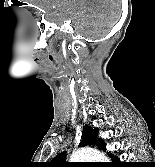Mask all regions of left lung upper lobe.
<instances>
[{"label":"left lung upper lobe","mask_w":155,"mask_h":167,"mask_svg":"<svg viewBox=\"0 0 155 167\" xmlns=\"http://www.w3.org/2000/svg\"><path fill=\"white\" fill-rule=\"evenodd\" d=\"M97 145L102 150L105 149L104 142L101 138H98V129L89 126L83 127L82 137L79 146ZM66 160V152L59 153L51 162L48 163V167H74V163H68Z\"/></svg>","instance_id":"obj_1"}]
</instances>
